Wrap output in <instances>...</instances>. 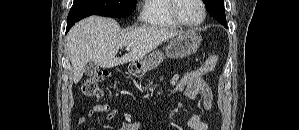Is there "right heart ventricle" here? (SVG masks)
I'll list each match as a JSON object with an SVG mask.
<instances>
[{"label": "right heart ventricle", "instance_id": "e07e8e85", "mask_svg": "<svg viewBox=\"0 0 299 130\" xmlns=\"http://www.w3.org/2000/svg\"><path fill=\"white\" fill-rule=\"evenodd\" d=\"M170 1L171 0H146L142 12V19L145 24L160 28L180 27V24L171 14Z\"/></svg>", "mask_w": 299, "mask_h": 130}]
</instances>
